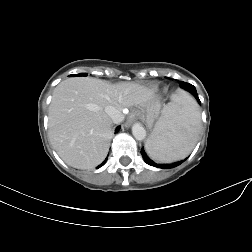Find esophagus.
I'll list each match as a JSON object with an SVG mask.
<instances>
[{
	"label": "esophagus",
	"mask_w": 252,
	"mask_h": 252,
	"mask_svg": "<svg viewBox=\"0 0 252 252\" xmlns=\"http://www.w3.org/2000/svg\"><path fill=\"white\" fill-rule=\"evenodd\" d=\"M134 121H135V113H131L127 117V120L125 122V127H127V128L130 127Z\"/></svg>",
	"instance_id": "esophagus-1"
}]
</instances>
